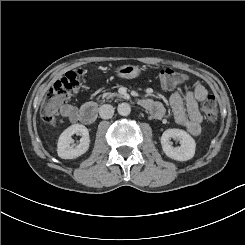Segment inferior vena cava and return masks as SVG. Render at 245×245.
Listing matches in <instances>:
<instances>
[{"label": "inferior vena cava", "instance_id": "602c4592", "mask_svg": "<svg viewBox=\"0 0 245 245\" xmlns=\"http://www.w3.org/2000/svg\"><path fill=\"white\" fill-rule=\"evenodd\" d=\"M99 114L102 119H110L113 117L114 108L109 104H104L100 107Z\"/></svg>", "mask_w": 245, "mask_h": 245}]
</instances>
